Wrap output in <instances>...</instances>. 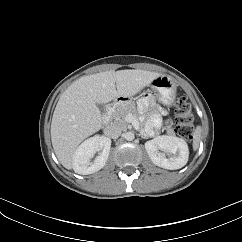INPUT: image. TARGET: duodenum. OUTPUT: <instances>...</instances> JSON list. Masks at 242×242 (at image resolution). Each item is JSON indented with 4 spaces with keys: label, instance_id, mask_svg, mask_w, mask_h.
Here are the masks:
<instances>
[{
    "label": "duodenum",
    "instance_id": "1",
    "mask_svg": "<svg viewBox=\"0 0 242 242\" xmlns=\"http://www.w3.org/2000/svg\"><path fill=\"white\" fill-rule=\"evenodd\" d=\"M119 102H120V98L114 99L111 103L108 104L106 108V113L103 116V124H104L105 132H108V125L110 122L111 114Z\"/></svg>",
    "mask_w": 242,
    "mask_h": 242
}]
</instances>
